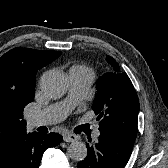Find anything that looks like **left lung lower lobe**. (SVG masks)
Listing matches in <instances>:
<instances>
[{"mask_svg":"<svg viewBox=\"0 0 168 168\" xmlns=\"http://www.w3.org/2000/svg\"><path fill=\"white\" fill-rule=\"evenodd\" d=\"M99 141L86 144L87 157L78 168H124L133 150L135 139L113 130H101Z\"/></svg>","mask_w":168,"mask_h":168,"instance_id":"0a47b994","label":"left lung lower lobe"}]
</instances>
